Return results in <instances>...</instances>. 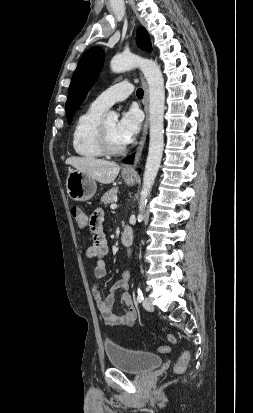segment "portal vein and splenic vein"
<instances>
[{
  "label": "portal vein and splenic vein",
  "instance_id": "18ae733b",
  "mask_svg": "<svg viewBox=\"0 0 253 413\" xmlns=\"http://www.w3.org/2000/svg\"><path fill=\"white\" fill-rule=\"evenodd\" d=\"M110 208H111V209H116V208H117V204H112V205L110 206Z\"/></svg>",
  "mask_w": 253,
  "mask_h": 413
}]
</instances>
